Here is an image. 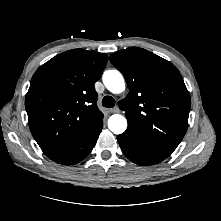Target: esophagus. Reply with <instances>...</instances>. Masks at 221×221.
Masks as SVG:
<instances>
[{
  "instance_id": "obj_1",
  "label": "esophagus",
  "mask_w": 221,
  "mask_h": 221,
  "mask_svg": "<svg viewBox=\"0 0 221 221\" xmlns=\"http://www.w3.org/2000/svg\"><path fill=\"white\" fill-rule=\"evenodd\" d=\"M109 113H119L120 112V109L118 107H115V108H111L108 110Z\"/></svg>"
}]
</instances>
